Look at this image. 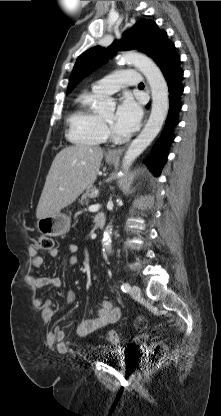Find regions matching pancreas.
Masks as SVG:
<instances>
[{
	"label": "pancreas",
	"instance_id": "pancreas-1",
	"mask_svg": "<svg viewBox=\"0 0 221 416\" xmlns=\"http://www.w3.org/2000/svg\"><path fill=\"white\" fill-rule=\"evenodd\" d=\"M98 196V192L96 191L95 187H89L86 189V192L82 195L81 199L79 200L81 205L88 204L90 199L96 198Z\"/></svg>",
	"mask_w": 221,
	"mask_h": 416
}]
</instances>
